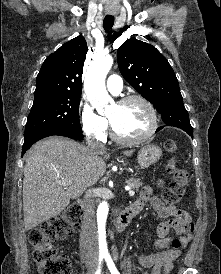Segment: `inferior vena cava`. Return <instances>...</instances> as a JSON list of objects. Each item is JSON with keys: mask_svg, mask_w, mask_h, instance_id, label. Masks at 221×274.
Instances as JSON below:
<instances>
[{"mask_svg": "<svg viewBox=\"0 0 221 274\" xmlns=\"http://www.w3.org/2000/svg\"><path fill=\"white\" fill-rule=\"evenodd\" d=\"M90 147L92 149L101 148L104 146L91 143ZM86 206L84 211L82 232L84 239V250L85 257L88 259H97L98 257V243L96 234V222H95V201L94 194L91 189L87 190L85 193Z\"/></svg>", "mask_w": 221, "mask_h": 274, "instance_id": "1", "label": "inferior vena cava"}]
</instances>
